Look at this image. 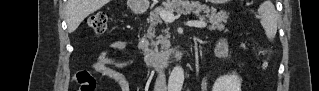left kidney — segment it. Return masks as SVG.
<instances>
[{
  "label": "left kidney",
  "mask_w": 319,
  "mask_h": 91,
  "mask_svg": "<svg viewBox=\"0 0 319 91\" xmlns=\"http://www.w3.org/2000/svg\"><path fill=\"white\" fill-rule=\"evenodd\" d=\"M213 91H241V79L236 73L221 76L215 81Z\"/></svg>",
  "instance_id": "obj_1"
}]
</instances>
